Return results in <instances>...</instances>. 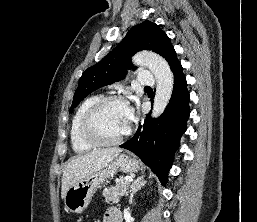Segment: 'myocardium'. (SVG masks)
Here are the masks:
<instances>
[{"mask_svg":"<svg viewBox=\"0 0 257 222\" xmlns=\"http://www.w3.org/2000/svg\"><path fill=\"white\" fill-rule=\"evenodd\" d=\"M118 103L127 106V101L120 96H107L100 98L96 101L85 113L81 123V133L85 140L94 146L107 147L114 146L125 140L130 132L131 127L126 130L124 134L113 140H107L102 138L96 127L95 120L97 115L109 104Z\"/></svg>","mask_w":257,"mask_h":222,"instance_id":"f54148a6","label":"myocardium"}]
</instances>
